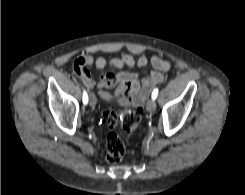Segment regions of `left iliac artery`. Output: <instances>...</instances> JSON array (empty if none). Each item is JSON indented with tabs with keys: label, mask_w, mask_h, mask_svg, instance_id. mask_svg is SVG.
<instances>
[{
	"label": "left iliac artery",
	"mask_w": 245,
	"mask_h": 195,
	"mask_svg": "<svg viewBox=\"0 0 245 195\" xmlns=\"http://www.w3.org/2000/svg\"><path fill=\"white\" fill-rule=\"evenodd\" d=\"M158 96V88H155L152 92V99L155 100Z\"/></svg>",
	"instance_id": "obj_1"
}]
</instances>
